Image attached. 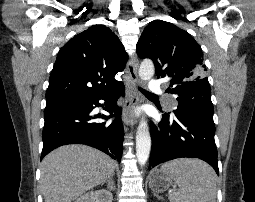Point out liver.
<instances>
[{
    "label": "liver",
    "instance_id": "6515ba94",
    "mask_svg": "<svg viewBox=\"0 0 255 202\" xmlns=\"http://www.w3.org/2000/svg\"><path fill=\"white\" fill-rule=\"evenodd\" d=\"M115 161L85 145H65L49 153L41 164L45 202H72L113 176Z\"/></svg>",
    "mask_w": 255,
    "mask_h": 202
}]
</instances>
